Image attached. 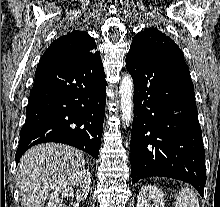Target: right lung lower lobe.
<instances>
[{
    "instance_id": "98d812e1",
    "label": "right lung lower lobe",
    "mask_w": 220,
    "mask_h": 207,
    "mask_svg": "<svg viewBox=\"0 0 220 207\" xmlns=\"http://www.w3.org/2000/svg\"><path fill=\"white\" fill-rule=\"evenodd\" d=\"M99 52L63 64L38 65L15 159L33 145L58 142L98 157L106 103Z\"/></svg>"
}]
</instances>
